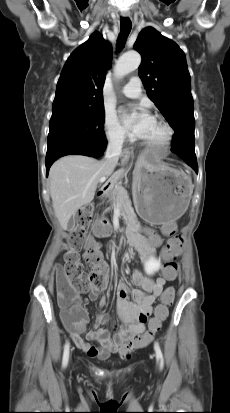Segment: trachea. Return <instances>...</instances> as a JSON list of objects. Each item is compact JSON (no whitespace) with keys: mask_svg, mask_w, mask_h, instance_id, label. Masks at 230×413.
<instances>
[{"mask_svg":"<svg viewBox=\"0 0 230 413\" xmlns=\"http://www.w3.org/2000/svg\"><path fill=\"white\" fill-rule=\"evenodd\" d=\"M131 26H132V23H131V21L128 17H122L120 19L121 32H120V35H119L118 41H117V48L118 49H122L124 47L126 39H127L128 35L131 31Z\"/></svg>","mask_w":230,"mask_h":413,"instance_id":"3493384b","label":"trachea"}]
</instances>
